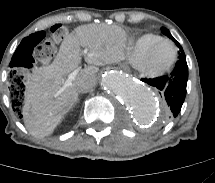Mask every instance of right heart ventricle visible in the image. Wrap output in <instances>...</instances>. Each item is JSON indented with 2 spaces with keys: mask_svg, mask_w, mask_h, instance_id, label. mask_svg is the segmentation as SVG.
Listing matches in <instances>:
<instances>
[{
  "mask_svg": "<svg viewBox=\"0 0 215 183\" xmlns=\"http://www.w3.org/2000/svg\"><path fill=\"white\" fill-rule=\"evenodd\" d=\"M162 39L159 35L146 33L135 38L130 46V58L134 64L137 63L140 56L155 42Z\"/></svg>",
  "mask_w": 215,
  "mask_h": 183,
  "instance_id": "obj_1",
  "label": "right heart ventricle"
}]
</instances>
